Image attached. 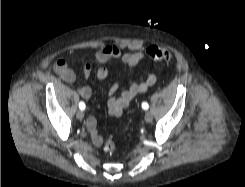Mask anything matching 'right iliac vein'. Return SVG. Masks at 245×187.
<instances>
[{
    "instance_id": "right-iliac-vein-1",
    "label": "right iliac vein",
    "mask_w": 245,
    "mask_h": 187,
    "mask_svg": "<svg viewBox=\"0 0 245 187\" xmlns=\"http://www.w3.org/2000/svg\"><path fill=\"white\" fill-rule=\"evenodd\" d=\"M76 117L79 119V120H82L84 118V112L83 111H78L77 114H76Z\"/></svg>"
}]
</instances>
